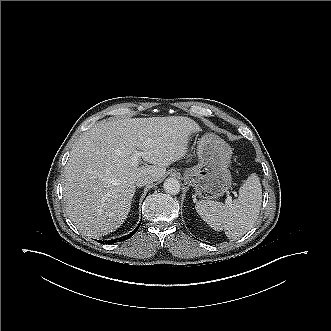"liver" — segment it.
<instances>
[{
	"instance_id": "1",
	"label": "liver",
	"mask_w": 331,
	"mask_h": 331,
	"mask_svg": "<svg viewBox=\"0 0 331 331\" xmlns=\"http://www.w3.org/2000/svg\"><path fill=\"white\" fill-rule=\"evenodd\" d=\"M198 129L192 119L172 116L111 120L85 132L64 170L63 197L71 221L90 237L115 231L130 212L135 180L163 177L167 166L186 155L189 136ZM138 150L150 165H131Z\"/></svg>"
}]
</instances>
